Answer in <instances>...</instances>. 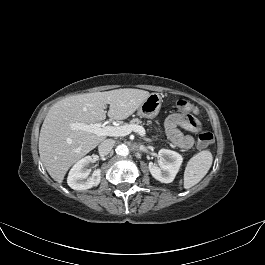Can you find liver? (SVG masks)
<instances>
[{
    "label": "liver",
    "instance_id": "liver-1",
    "mask_svg": "<svg viewBox=\"0 0 265 265\" xmlns=\"http://www.w3.org/2000/svg\"><path fill=\"white\" fill-rule=\"evenodd\" d=\"M148 91L117 89L79 94L62 99L48 111L39 137V154L49 175L62 183L68 169L105 140V136L74 130L70 123L93 124L108 117L123 120L149 97Z\"/></svg>",
    "mask_w": 265,
    "mask_h": 265
}]
</instances>
